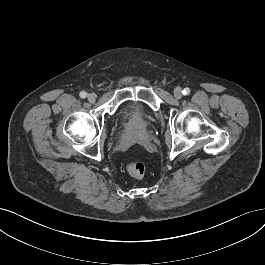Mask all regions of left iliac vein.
Here are the masks:
<instances>
[{
  "label": "left iliac vein",
  "instance_id": "obj_1",
  "mask_svg": "<svg viewBox=\"0 0 265 265\" xmlns=\"http://www.w3.org/2000/svg\"><path fill=\"white\" fill-rule=\"evenodd\" d=\"M174 96H175V98H177V99H180V98L182 97V90H181L180 87H176V88L174 89Z\"/></svg>",
  "mask_w": 265,
  "mask_h": 265
}]
</instances>
